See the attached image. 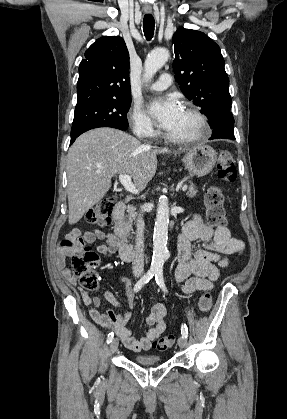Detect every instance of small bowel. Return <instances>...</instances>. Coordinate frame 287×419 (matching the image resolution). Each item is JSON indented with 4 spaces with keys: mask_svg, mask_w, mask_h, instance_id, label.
Instances as JSON below:
<instances>
[{
    "mask_svg": "<svg viewBox=\"0 0 287 419\" xmlns=\"http://www.w3.org/2000/svg\"><path fill=\"white\" fill-rule=\"evenodd\" d=\"M68 236L80 238L84 243L105 240L106 243L99 244L96 248L97 252L103 256H111L121 247V242L116 235L98 229L84 232L73 229ZM193 243L198 244L193 247ZM242 248L243 243L233 238L227 227H213L200 217L194 216L186 223L178 238L175 278L177 281L185 282L183 286L185 293L209 291L219 277V268L226 266V260L222 254L237 252ZM68 256L67 252L60 250L57 256V267L63 277L73 284L76 282V276L67 267ZM120 280L125 285L126 295L131 304V283L124 277ZM81 296L91 318L100 326L113 329L123 344L134 352L149 350L153 341L166 330L167 309L163 304H156L152 308L147 318L149 329L141 339H136L127 327L131 316L130 310L124 309L122 315H117L111 308L102 312L99 310L100 298L92 297L84 290H81ZM103 298L115 306L122 307L120 299L110 291H104Z\"/></svg>",
    "mask_w": 287,
    "mask_h": 419,
    "instance_id": "small-bowel-1",
    "label": "small bowel"
}]
</instances>
